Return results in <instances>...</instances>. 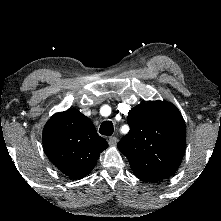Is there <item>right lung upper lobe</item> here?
<instances>
[{
  "mask_svg": "<svg viewBox=\"0 0 221 221\" xmlns=\"http://www.w3.org/2000/svg\"><path fill=\"white\" fill-rule=\"evenodd\" d=\"M42 139L49 160L72 179L88 175L108 147L91 120L75 109L54 114L44 126Z\"/></svg>",
  "mask_w": 221,
  "mask_h": 221,
  "instance_id": "right-lung-upper-lobe-1",
  "label": "right lung upper lobe"
}]
</instances>
